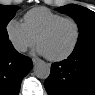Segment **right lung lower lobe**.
Wrapping results in <instances>:
<instances>
[{
	"mask_svg": "<svg viewBox=\"0 0 95 95\" xmlns=\"http://www.w3.org/2000/svg\"><path fill=\"white\" fill-rule=\"evenodd\" d=\"M32 66L31 59L19 54L11 42L0 44V95H18L21 81Z\"/></svg>",
	"mask_w": 95,
	"mask_h": 95,
	"instance_id": "right-lung-lower-lobe-1",
	"label": "right lung lower lobe"
}]
</instances>
